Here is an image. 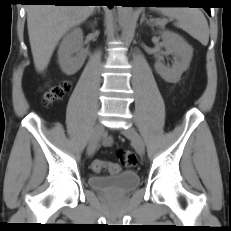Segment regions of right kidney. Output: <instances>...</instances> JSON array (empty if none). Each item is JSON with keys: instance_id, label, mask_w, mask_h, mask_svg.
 Returning <instances> with one entry per match:
<instances>
[{"instance_id": "1", "label": "right kidney", "mask_w": 231, "mask_h": 231, "mask_svg": "<svg viewBox=\"0 0 231 231\" xmlns=\"http://www.w3.org/2000/svg\"><path fill=\"white\" fill-rule=\"evenodd\" d=\"M83 33L80 28L73 29L62 41L58 50L61 70L67 75L75 74L85 62L82 51Z\"/></svg>"}]
</instances>
